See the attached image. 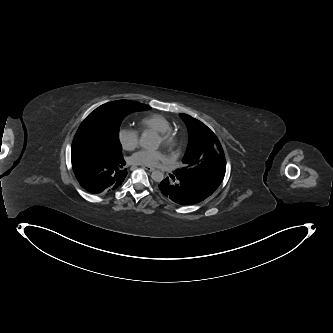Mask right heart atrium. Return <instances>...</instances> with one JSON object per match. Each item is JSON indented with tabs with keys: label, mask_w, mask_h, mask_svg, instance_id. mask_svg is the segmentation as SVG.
<instances>
[{
	"label": "right heart atrium",
	"mask_w": 333,
	"mask_h": 333,
	"mask_svg": "<svg viewBox=\"0 0 333 333\" xmlns=\"http://www.w3.org/2000/svg\"><path fill=\"white\" fill-rule=\"evenodd\" d=\"M118 139L122 148L126 151H133L139 146V132L132 127H121L118 132Z\"/></svg>",
	"instance_id": "d8ad5b80"
}]
</instances>
